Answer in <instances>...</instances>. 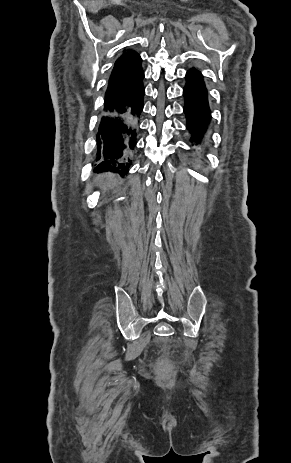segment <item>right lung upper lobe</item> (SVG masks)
<instances>
[{
    "instance_id": "1",
    "label": "right lung upper lobe",
    "mask_w": 291,
    "mask_h": 463,
    "mask_svg": "<svg viewBox=\"0 0 291 463\" xmlns=\"http://www.w3.org/2000/svg\"><path fill=\"white\" fill-rule=\"evenodd\" d=\"M141 63L140 55L133 50L123 53L116 60L105 94L104 110L122 99L136 83L143 72Z\"/></svg>"
}]
</instances>
